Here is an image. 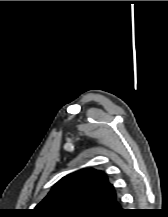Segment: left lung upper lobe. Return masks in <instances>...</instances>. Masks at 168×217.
Listing matches in <instances>:
<instances>
[{"label": "left lung upper lobe", "instance_id": "5c2ea615", "mask_svg": "<svg viewBox=\"0 0 168 217\" xmlns=\"http://www.w3.org/2000/svg\"><path fill=\"white\" fill-rule=\"evenodd\" d=\"M116 199L104 172L82 169L59 180L33 212L38 217H100Z\"/></svg>", "mask_w": 168, "mask_h": 217}]
</instances>
